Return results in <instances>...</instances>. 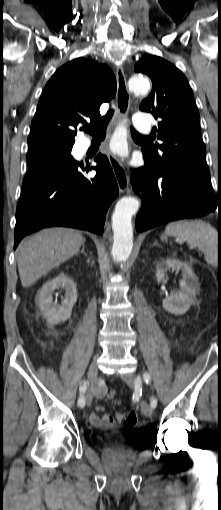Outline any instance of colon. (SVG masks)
<instances>
[{"label":"colon","mask_w":221,"mask_h":510,"mask_svg":"<svg viewBox=\"0 0 221 510\" xmlns=\"http://www.w3.org/2000/svg\"><path fill=\"white\" fill-rule=\"evenodd\" d=\"M115 395H116L115 390H110L108 393V398L114 399ZM118 403H119L118 401H115V404H118ZM137 421H138V416H137L136 412L130 411L125 417L124 425L126 427H133L136 425Z\"/></svg>","instance_id":"1"}]
</instances>
